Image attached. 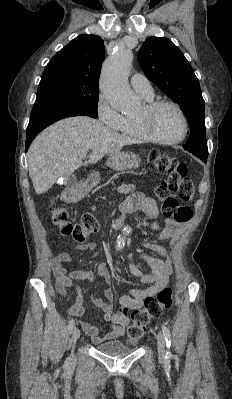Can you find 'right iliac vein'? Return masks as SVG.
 Returning <instances> with one entry per match:
<instances>
[{"label":"right iliac vein","instance_id":"1","mask_svg":"<svg viewBox=\"0 0 232 399\" xmlns=\"http://www.w3.org/2000/svg\"><path fill=\"white\" fill-rule=\"evenodd\" d=\"M80 334H81V331L79 329H75V331L72 334L73 344H76V341H79Z\"/></svg>","mask_w":232,"mask_h":399}]
</instances>
